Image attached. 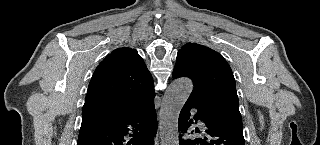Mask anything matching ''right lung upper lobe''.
<instances>
[{
  "label": "right lung upper lobe",
  "instance_id": "right-lung-upper-lobe-1",
  "mask_svg": "<svg viewBox=\"0 0 320 145\" xmlns=\"http://www.w3.org/2000/svg\"><path fill=\"white\" fill-rule=\"evenodd\" d=\"M155 96L153 78L135 49H115L97 66L82 110V124L120 119Z\"/></svg>",
  "mask_w": 320,
  "mask_h": 145
}]
</instances>
